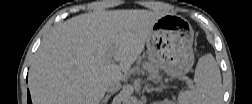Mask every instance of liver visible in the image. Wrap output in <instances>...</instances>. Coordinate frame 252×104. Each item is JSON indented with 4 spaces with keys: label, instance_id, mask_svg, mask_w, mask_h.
Masks as SVG:
<instances>
[{
    "label": "liver",
    "instance_id": "1",
    "mask_svg": "<svg viewBox=\"0 0 252 104\" xmlns=\"http://www.w3.org/2000/svg\"><path fill=\"white\" fill-rule=\"evenodd\" d=\"M163 16L143 9L93 11L61 23L42 43L28 86L36 104H99L122 80ZM111 55L119 64L107 61Z\"/></svg>",
    "mask_w": 252,
    "mask_h": 104
}]
</instances>
